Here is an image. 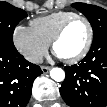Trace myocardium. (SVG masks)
<instances>
[{
    "label": "myocardium",
    "instance_id": "f54148a6",
    "mask_svg": "<svg viewBox=\"0 0 107 107\" xmlns=\"http://www.w3.org/2000/svg\"><path fill=\"white\" fill-rule=\"evenodd\" d=\"M75 20L84 21V23L86 24L87 29H88V38H87L85 46L77 55H75L71 58L63 59L68 64H74V63H77L80 60H82L90 51L92 43H93V39H94L93 27H92V24L89 21V19L83 15L77 14V15H74V16L68 18L66 21H64L62 23V25L58 28L56 33L54 34L52 41H51V48H52L53 52L55 53V46L58 43V41L62 38V36L64 35L66 29Z\"/></svg>",
    "mask_w": 107,
    "mask_h": 107
}]
</instances>
